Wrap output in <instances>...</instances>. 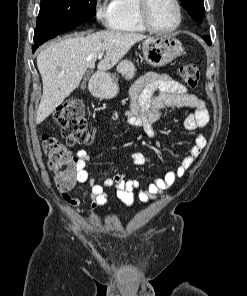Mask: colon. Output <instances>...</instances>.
<instances>
[{
	"label": "colon",
	"instance_id": "5ec220e1",
	"mask_svg": "<svg viewBox=\"0 0 247 296\" xmlns=\"http://www.w3.org/2000/svg\"><path fill=\"white\" fill-rule=\"evenodd\" d=\"M179 75L190 88L199 85L200 71L195 63L182 64ZM54 121L60 127L68 145L89 144L92 141L87 126L86 109L79 99H68L61 104L54 113ZM42 143L57 187L62 191L70 189L76 181L79 159L54 137L45 134L42 136Z\"/></svg>",
	"mask_w": 247,
	"mask_h": 296
}]
</instances>
